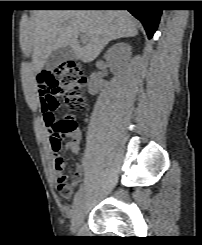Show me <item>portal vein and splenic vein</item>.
Listing matches in <instances>:
<instances>
[{
	"label": "portal vein and splenic vein",
	"mask_w": 202,
	"mask_h": 245,
	"mask_svg": "<svg viewBox=\"0 0 202 245\" xmlns=\"http://www.w3.org/2000/svg\"><path fill=\"white\" fill-rule=\"evenodd\" d=\"M80 39L82 42H86V35L85 34H80Z\"/></svg>",
	"instance_id": "obj_1"
}]
</instances>
